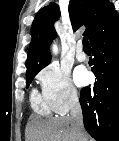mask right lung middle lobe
I'll use <instances>...</instances> for the list:
<instances>
[{"mask_svg":"<svg viewBox=\"0 0 119 141\" xmlns=\"http://www.w3.org/2000/svg\"><path fill=\"white\" fill-rule=\"evenodd\" d=\"M37 73H38V72L31 73V74H26V88L29 87L30 83L32 82L33 78L35 77V75H36Z\"/></svg>","mask_w":119,"mask_h":141,"instance_id":"right-lung-middle-lobe-1","label":"right lung middle lobe"}]
</instances>
